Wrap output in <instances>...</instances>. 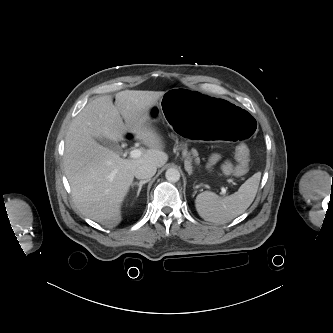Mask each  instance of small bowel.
Instances as JSON below:
<instances>
[{
  "label": "small bowel",
  "instance_id": "obj_1",
  "mask_svg": "<svg viewBox=\"0 0 333 333\" xmlns=\"http://www.w3.org/2000/svg\"><path fill=\"white\" fill-rule=\"evenodd\" d=\"M230 168H231V166L229 165V164H227L226 166H225V169L228 171V170H230Z\"/></svg>",
  "mask_w": 333,
  "mask_h": 333
}]
</instances>
